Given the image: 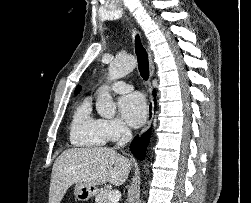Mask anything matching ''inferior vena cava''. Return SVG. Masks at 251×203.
I'll return each mask as SVG.
<instances>
[{"instance_id":"1","label":"inferior vena cava","mask_w":251,"mask_h":203,"mask_svg":"<svg viewBox=\"0 0 251 203\" xmlns=\"http://www.w3.org/2000/svg\"><path fill=\"white\" fill-rule=\"evenodd\" d=\"M132 138V132L127 126L121 127V139L117 143V147L125 146Z\"/></svg>"}]
</instances>
